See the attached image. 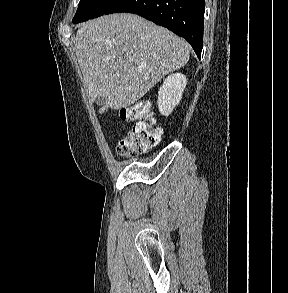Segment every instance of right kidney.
I'll use <instances>...</instances> for the list:
<instances>
[{"label":"right kidney","mask_w":288,"mask_h":293,"mask_svg":"<svg viewBox=\"0 0 288 293\" xmlns=\"http://www.w3.org/2000/svg\"><path fill=\"white\" fill-rule=\"evenodd\" d=\"M186 76L181 73L169 75L158 92V108L162 115L168 116L182 99L186 87Z\"/></svg>","instance_id":"obj_1"}]
</instances>
